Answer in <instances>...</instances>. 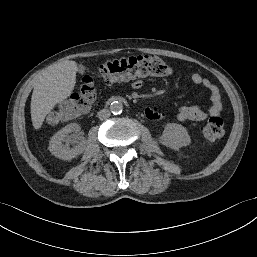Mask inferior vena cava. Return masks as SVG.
<instances>
[{"label": "inferior vena cava", "mask_w": 257, "mask_h": 257, "mask_svg": "<svg viewBox=\"0 0 257 257\" xmlns=\"http://www.w3.org/2000/svg\"><path fill=\"white\" fill-rule=\"evenodd\" d=\"M97 115L100 120H105L110 117V111L108 109H102L97 113Z\"/></svg>", "instance_id": "1"}]
</instances>
